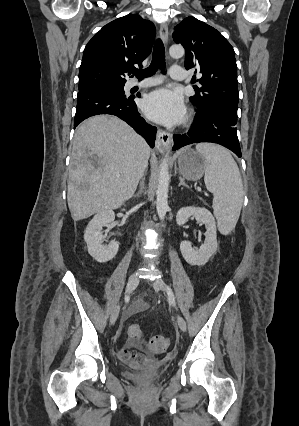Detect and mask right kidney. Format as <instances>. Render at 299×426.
Here are the masks:
<instances>
[{
  "instance_id": "ca27d5eb",
  "label": "right kidney",
  "mask_w": 299,
  "mask_h": 426,
  "mask_svg": "<svg viewBox=\"0 0 299 426\" xmlns=\"http://www.w3.org/2000/svg\"><path fill=\"white\" fill-rule=\"evenodd\" d=\"M115 219L113 210H106L97 213L87 225L84 232V240L87 243L89 254L94 260L100 263L110 261L115 257L119 250V243L115 240L108 245H104V236L102 229L105 225L110 224Z\"/></svg>"
}]
</instances>
